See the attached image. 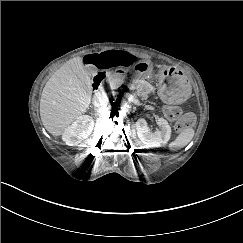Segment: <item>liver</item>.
<instances>
[{
	"label": "liver",
	"mask_w": 243,
	"mask_h": 243,
	"mask_svg": "<svg viewBox=\"0 0 243 243\" xmlns=\"http://www.w3.org/2000/svg\"><path fill=\"white\" fill-rule=\"evenodd\" d=\"M128 52L141 59H152L148 54ZM91 90V79L82 56L74 57L56 70L41 94L39 108L44 128L54 137L62 136L87 111Z\"/></svg>",
	"instance_id": "obj_1"
}]
</instances>
